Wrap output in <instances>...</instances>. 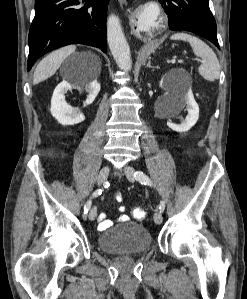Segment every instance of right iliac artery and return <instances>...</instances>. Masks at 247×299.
Wrapping results in <instances>:
<instances>
[{
    "mask_svg": "<svg viewBox=\"0 0 247 299\" xmlns=\"http://www.w3.org/2000/svg\"><path fill=\"white\" fill-rule=\"evenodd\" d=\"M101 193H102V189H98L93 192L92 197H97L101 195ZM90 208H91V200H88L84 206V213L87 214Z\"/></svg>",
    "mask_w": 247,
    "mask_h": 299,
    "instance_id": "obj_1",
    "label": "right iliac artery"
}]
</instances>
